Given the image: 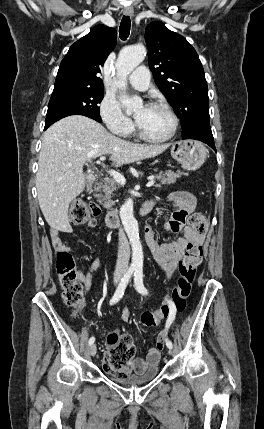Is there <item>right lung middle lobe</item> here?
<instances>
[{"instance_id": "obj_1", "label": "right lung middle lobe", "mask_w": 264, "mask_h": 429, "mask_svg": "<svg viewBox=\"0 0 264 429\" xmlns=\"http://www.w3.org/2000/svg\"><path fill=\"white\" fill-rule=\"evenodd\" d=\"M103 99V89L67 87L53 90L48 105L45 128L70 115H84L101 122L98 104Z\"/></svg>"}]
</instances>
